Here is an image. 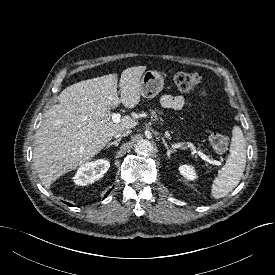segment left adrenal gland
Masks as SVG:
<instances>
[{"instance_id": "a2214340", "label": "left adrenal gland", "mask_w": 275, "mask_h": 275, "mask_svg": "<svg viewBox=\"0 0 275 275\" xmlns=\"http://www.w3.org/2000/svg\"><path fill=\"white\" fill-rule=\"evenodd\" d=\"M162 141H163L164 146H165V147H166V149H167V156H168V158H170V157H171V154H173V153H174V151H173V150H171V149L168 147V145H167V143L165 142V140H164V139H162Z\"/></svg>"}]
</instances>
